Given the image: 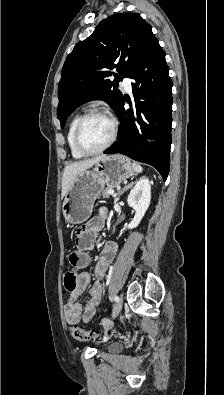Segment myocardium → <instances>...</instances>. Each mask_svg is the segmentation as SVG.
<instances>
[{
	"label": "myocardium",
	"mask_w": 224,
	"mask_h": 395,
	"mask_svg": "<svg viewBox=\"0 0 224 395\" xmlns=\"http://www.w3.org/2000/svg\"><path fill=\"white\" fill-rule=\"evenodd\" d=\"M96 115L103 116L111 122V125H112L111 135H110V138L108 139V141L99 149L87 150L83 147V145L81 143L80 135H81L82 125L89 117L96 116ZM118 130H119V122H118L117 118L112 113H110L109 111L102 109V108L90 109L87 112H85L82 116H80V118L77 121V124L75 127V133H74L75 147L84 156L97 155L99 153H102L106 149H108L115 142L117 135H118Z\"/></svg>",
	"instance_id": "obj_1"
}]
</instances>
